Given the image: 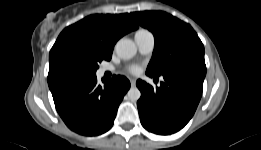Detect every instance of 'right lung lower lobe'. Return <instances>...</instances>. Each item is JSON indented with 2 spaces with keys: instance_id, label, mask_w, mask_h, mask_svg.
<instances>
[{
  "instance_id": "right-lung-lower-lobe-1",
  "label": "right lung lower lobe",
  "mask_w": 261,
  "mask_h": 150,
  "mask_svg": "<svg viewBox=\"0 0 261 150\" xmlns=\"http://www.w3.org/2000/svg\"><path fill=\"white\" fill-rule=\"evenodd\" d=\"M105 82L100 86L93 76L70 80L51 90L55 107L71 130L95 136L112 127L130 82L124 76H113Z\"/></svg>"
}]
</instances>
